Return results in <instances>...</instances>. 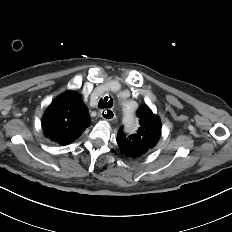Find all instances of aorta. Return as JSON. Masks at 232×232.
<instances>
[{"instance_id":"aorta-1","label":"aorta","mask_w":232,"mask_h":232,"mask_svg":"<svg viewBox=\"0 0 232 232\" xmlns=\"http://www.w3.org/2000/svg\"><path fill=\"white\" fill-rule=\"evenodd\" d=\"M123 122L127 127L131 129H133L136 124L134 111L131 110L127 105L123 107Z\"/></svg>"}]
</instances>
